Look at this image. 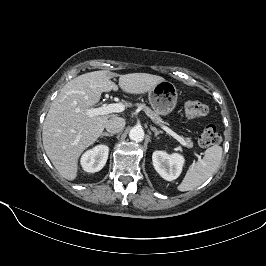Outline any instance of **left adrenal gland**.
Listing matches in <instances>:
<instances>
[{"mask_svg":"<svg viewBox=\"0 0 266 266\" xmlns=\"http://www.w3.org/2000/svg\"><path fill=\"white\" fill-rule=\"evenodd\" d=\"M151 130L155 133V136L157 137L159 134H163V131H158L155 127H150Z\"/></svg>","mask_w":266,"mask_h":266,"instance_id":"a2214340","label":"left adrenal gland"}]
</instances>
